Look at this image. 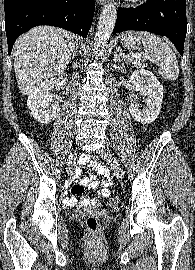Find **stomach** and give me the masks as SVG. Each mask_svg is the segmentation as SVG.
Masks as SVG:
<instances>
[{
    "label": "stomach",
    "mask_w": 195,
    "mask_h": 270,
    "mask_svg": "<svg viewBox=\"0 0 195 270\" xmlns=\"http://www.w3.org/2000/svg\"><path fill=\"white\" fill-rule=\"evenodd\" d=\"M121 41L124 47L130 49L138 48L141 44V39L131 32L123 33L121 36Z\"/></svg>",
    "instance_id": "0dacf381"
}]
</instances>
